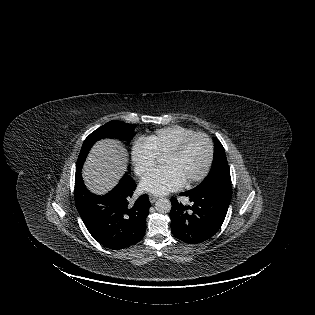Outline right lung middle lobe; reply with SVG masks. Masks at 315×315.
Here are the masks:
<instances>
[{
	"mask_svg": "<svg viewBox=\"0 0 315 315\" xmlns=\"http://www.w3.org/2000/svg\"><path fill=\"white\" fill-rule=\"evenodd\" d=\"M134 129L135 126L121 121H110L96 129L85 139L77 160L76 169H82L87 154L96 141L103 138H118L130 142L135 134Z\"/></svg>",
	"mask_w": 315,
	"mask_h": 315,
	"instance_id": "1",
	"label": "right lung middle lobe"
}]
</instances>
